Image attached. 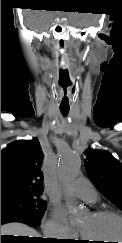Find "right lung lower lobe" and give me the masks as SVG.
I'll use <instances>...</instances> for the list:
<instances>
[{"label": "right lung lower lobe", "mask_w": 122, "mask_h": 243, "mask_svg": "<svg viewBox=\"0 0 122 243\" xmlns=\"http://www.w3.org/2000/svg\"><path fill=\"white\" fill-rule=\"evenodd\" d=\"M8 222H22L32 227H36L40 225L41 220L36 219L31 214L22 211L1 208V225ZM31 241L33 243H53L52 241L45 239H33Z\"/></svg>", "instance_id": "1"}]
</instances>
